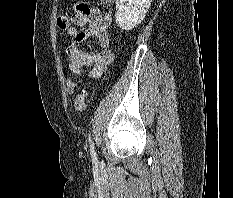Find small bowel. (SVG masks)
<instances>
[{
	"mask_svg": "<svg viewBox=\"0 0 233 198\" xmlns=\"http://www.w3.org/2000/svg\"><path fill=\"white\" fill-rule=\"evenodd\" d=\"M110 4L112 0H103ZM73 26L68 28L71 43L66 48V57L70 74L66 80L69 94L75 93L79 85V76L85 73L89 78L100 77L113 61V53L109 48L108 29L112 23L110 12H100L85 3H78L71 17ZM86 27L85 30H80ZM93 38L98 42L99 51L87 53L80 44Z\"/></svg>",
	"mask_w": 233,
	"mask_h": 198,
	"instance_id": "c3829d8e",
	"label": "small bowel"
}]
</instances>
